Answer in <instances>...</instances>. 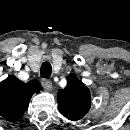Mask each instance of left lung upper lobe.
<instances>
[{"instance_id":"5c2ea615","label":"left lung upper lobe","mask_w":130,"mask_h":130,"mask_svg":"<svg viewBox=\"0 0 130 130\" xmlns=\"http://www.w3.org/2000/svg\"><path fill=\"white\" fill-rule=\"evenodd\" d=\"M57 100L61 114L72 121L84 117L91 105L89 89L75 74L67 76V86L59 90Z\"/></svg>"}]
</instances>
